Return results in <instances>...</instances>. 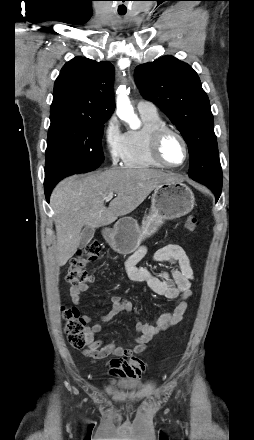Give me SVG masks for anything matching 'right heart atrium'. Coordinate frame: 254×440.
Here are the masks:
<instances>
[{
	"label": "right heart atrium",
	"mask_w": 254,
	"mask_h": 440,
	"mask_svg": "<svg viewBox=\"0 0 254 440\" xmlns=\"http://www.w3.org/2000/svg\"><path fill=\"white\" fill-rule=\"evenodd\" d=\"M104 142L111 162L113 164L120 163L124 156L126 133L122 130L115 115L109 116L105 123Z\"/></svg>",
	"instance_id": "d8ad5b80"
}]
</instances>
